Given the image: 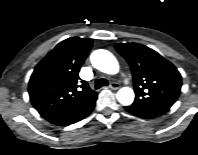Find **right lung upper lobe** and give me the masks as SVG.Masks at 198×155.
<instances>
[{
    "mask_svg": "<svg viewBox=\"0 0 198 155\" xmlns=\"http://www.w3.org/2000/svg\"><path fill=\"white\" fill-rule=\"evenodd\" d=\"M91 47V39L68 38L35 67L29 81V95L42 117L48 118L68 111L96 94L86 81L82 80V84H78L80 68Z\"/></svg>",
    "mask_w": 198,
    "mask_h": 155,
    "instance_id": "right-lung-upper-lobe-1",
    "label": "right lung upper lobe"
}]
</instances>
